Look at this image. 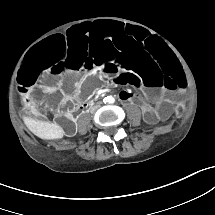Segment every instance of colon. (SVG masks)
<instances>
[{"label":"colon","mask_w":215,"mask_h":215,"mask_svg":"<svg viewBox=\"0 0 215 215\" xmlns=\"http://www.w3.org/2000/svg\"><path fill=\"white\" fill-rule=\"evenodd\" d=\"M184 112V107H179L177 108V110L175 111V116L176 118H181Z\"/></svg>","instance_id":"1"}]
</instances>
